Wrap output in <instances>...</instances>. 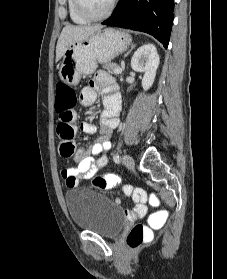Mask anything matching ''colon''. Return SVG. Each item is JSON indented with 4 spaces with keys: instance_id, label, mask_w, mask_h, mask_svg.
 <instances>
[{
    "instance_id": "1",
    "label": "colon",
    "mask_w": 227,
    "mask_h": 279,
    "mask_svg": "<svg viewBox=\"0 0 227 279\" xmlns=\"http://www.w3.org/2000/svg\"><path fill=\"white\" fill-rule=\"evenodd\" d=\"M76 103L77 97L75 90L69 86L61 84L58 85L55 110L61 123L59 127V134L66 141H70L74 134V127L71 125V121L73 119V108ZM73 152L74 146L69 142L60 146V155L63 158H70L73 155ZM120 183L121 178L116 173H106L96 176L93 179L94 187L99 190L113 188L118 186ZM69 185L76 187L78 182L74 177H72L69 180ZM134 194L140 198L145 196V192L143 190H136ZM150 235L151 231L148 227L141 224L135 225L128 236L127 243L130 247L136 248L147 240Z\"/></svg>"
}]
</instances>
